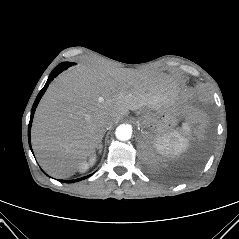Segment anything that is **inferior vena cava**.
<instances>
[{"label": "inferior vena cava", "instance_id": "obj_1", "mask_svg": "<svg viewBox=\"0 0 239 239\" xmlns=\"http://www.w3.org/2000/svg\"><path fill=\"white\" fill-rule=\"evenodd\" d=\"M112 124H114V119L113 118H108L104 121V126H111Z\"/></svg>", "mask_w": 239, "mask_h": 239}]
</instances>
